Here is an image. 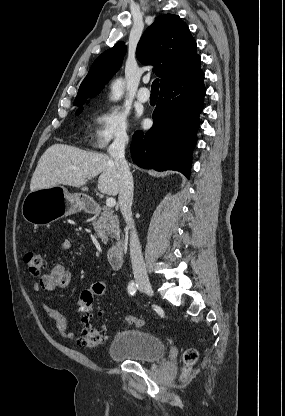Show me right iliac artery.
Here are the masks:
<instances>
[{"mask_svg":"<svg viewBox=\"0 0 285 416\" xmlns=\"http://www.w3.org/2000/svg\"><path fill=\"white\" fill-rule=\"evenodd\" d=\"M137 289H138V284L137 283H135L134 281H131L129 284H128V293L130 294V295H135V293H136V291H137Z\"/></svg>","mask_w":285,"mask_h":416,"instance_id":"obj_1","label":"right iliac artery"}]
</instances>
